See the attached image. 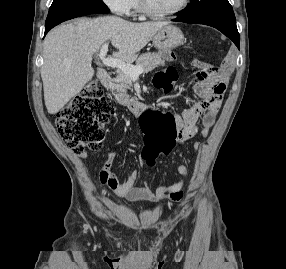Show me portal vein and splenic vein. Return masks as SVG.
Instances as JSON below:
<instances>
[{
    "mask_svg": "<svg viewBox=\"0 0 286 269\" xmlns=\"http://www.w3.org/2000/svg\"><path fill=\"white\" fill-rule=\"evenodd\" d=\"M107 51H108V44L105 43L102 45L99 55L104 65L120 69L121 71L129 75L133 80H137L139 75L143 73V69L141 67L133 66L132 64L126 63L121 59L113 57L106 58Z\"/></svg>",
    "mask_w": 286,
    "mask_h": 269,
    "instance_id": "portal-vein-and-splenic-vein-1",
    "label": "portal vein and splenic vein"
}]
</instances>
